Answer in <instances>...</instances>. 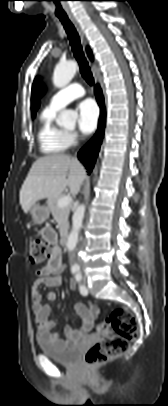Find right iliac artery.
Here are the masks:
<instances>
[{"label":"right iliac artery","instance_id":"right-iliac-artery-1","mask_svg":"<svg viewBox=\"0 0 168 406\" xmlns=\"http://www.w3.org/2000/svg\"><path fill=\"white\" fill-rule=\"evenodd\" d=\"M78 271H79V268H77V267L72 268V273H76Z\"/></svg>","mask_w":168,"mask_h":406}]
</instances>
